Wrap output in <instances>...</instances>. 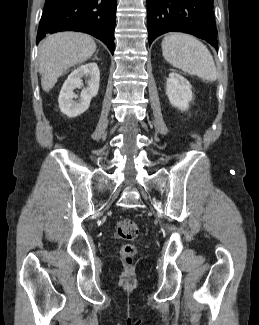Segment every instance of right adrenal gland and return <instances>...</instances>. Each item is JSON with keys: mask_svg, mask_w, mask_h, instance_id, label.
Masks as SVG:
<instances>
[{"mask_svg": "<svg viewBox=\"0 0 259 325\" xmlns=\"http://www.w3.org/2000/svg\"><path fill=\"white\" fill-rule=\"evenodd\" d=\"M95 59H96V60L98 59L96 55H95V58H94V60H95Z\"/></svg>", "mask_w": 259, "mask_h": 325, "instance_id": "1", "label": "right adrenal gland"}]
</instances>
